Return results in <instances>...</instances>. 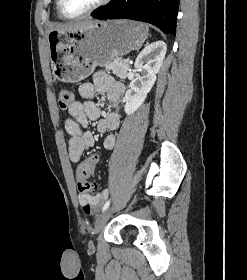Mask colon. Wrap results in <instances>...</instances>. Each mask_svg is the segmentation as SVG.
Masks as SVG:
<instances>
[{"label": "colon", "mask_w": 247, "mask_h": 280, "mask_svg": "<svg viewBox=\"0 0 247 280\" xmlns=\"http://www.w3.org/2000/svg\"><path fill=\"white\" fill-rule=\"evenodd\" d=\"M74 102V94L70 90H61L58 94V105L60 109L66 110ZM99 161V155L93 154L87 160L80 163L77 170V185L80 193H90L93 186L89 182L90 176L94 172L95 165Z\"/></svg>", "instance_id": "obj_1"}]
</instances>
